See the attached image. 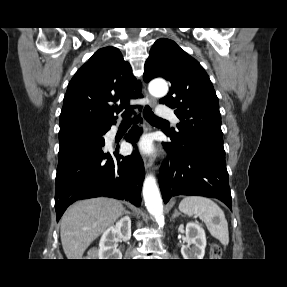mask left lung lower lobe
<instances>
[{
	"instance_id": "obj_1",
	"label": "left lung lower lobe",
	"mask_w": 287,
	"mask_h": 287,
	"mask_svg": "<svg viewBox=\"0 0 287 287\" xmlns=\"http://www.w3.org/2000/svg\"><path fill=\"white\" fill-rule=\"evenodd\" d=\"M170 139L171 142L164 147L171 163L163 164L159 172L164 202L167 203L172 196L197 195L217 198L231 209L225 156L199 145L178 144Z\"/></svg>"
}]
</instances>
